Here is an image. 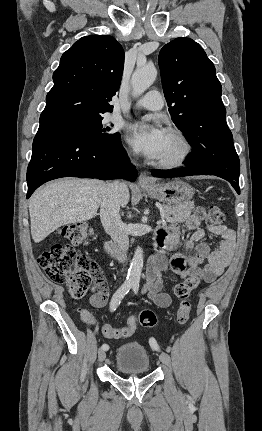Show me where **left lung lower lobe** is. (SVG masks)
I'll list each match as a JSON object with an SVG mask.
<instances>
[{
    "label": "left lung lower lobe",
    "instance_id": "1",
    "mask_svg": "<svg viewBox=\"0 0 262 431\" xmlns=\"http://www.w3.org/2000/svg\"><path fill=\"white\" fill-rule=\"evenodd\" d=\"M227 166L232 171L231 172L230 170H227L228 172H231L234 174L236 173L235 171H233L235 168L233 165H227ZM207 174H210V173H207L199 169L191 168L189 166H187L186 168H182L174 171L157 170V169L152 171V176L160 177V178L192 176V175H207ZM210 175H214V174H210ZM216 176H219L229 181L231 185L234 187V189L236 190V192L240 194L239 177H229L226 174H218Z\"/></svg>",
    "mask_w": 262,
    "mask_h": 431
}]
</instances>
